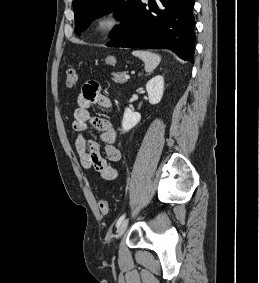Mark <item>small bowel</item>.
<instances>
[{
	"mask_svg": "<svg viewBox=\"0 0 259 283\" xmlns=\"http://www.w3.org/2000/svg\"><path fill=\"white\" fill-rule=\"evenodd\" d=\"M77 104L72 122L77 159L83 168L95 169L101 178L115 180L118 177V170L108 161L118 162L122 157V153L116 145V130L109 119L92 116L89 112V108L94 104L104 109H110L111 99L100 91L96 82L89 81L83 85L82 91L77 97ZM90 125L100 133L106 159L101 155L99 143L85 137Z\"/></svg>",
	"mask_w": 259,
	"mask_h": 283,
	"instance_id": "obj_1",
	"label": "small bowel"
}]
</instances>
